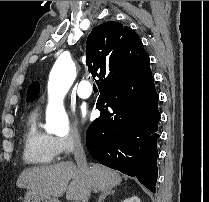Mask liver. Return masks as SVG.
I'll use <instances>...</instances> for the list:
<instances>
[{
  "label": "liver",
  "instance_id": "liver-1",
  "mask_svg": "<svg viewBox=\"0 0 209 202\" xmlns=\"http://www.w3.org/2000/svg\"><path fill=\"white\" fill-rule=\"evenodd\" d=\"M89 182L91 191L97 193L120 185L122 178L116 171L93 164L89 168ZM16 184L19 188L36 190L52 197H61L66 192L69 201L87 202L86 179L70 161L25 169Z\"/></svg>",
  "mask_w": 209,
  "mask_h": 202
}]
</instances>
